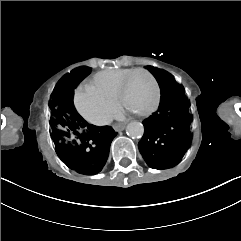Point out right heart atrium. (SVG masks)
I'll return each mask as SVG.
<instances>
[{
  "mask_svg": "<svg viewBox=\"0 0 241 241\" xmlns=\"http://www.w3.org/2000/svg\"><path fill=\"white\" fill-rule=\"evenodd\" d=\"M110 97V94L103 93L96 85H80L74 91L73 102L87 121L95 125H105L116 112L115 100H108Z\"/></svg>",
  "mask_w": 241,
  "mask_h": 241,
  "instance_id": "d8ad5b80",
  "label": "right heart atrium"
}]
</instances>
